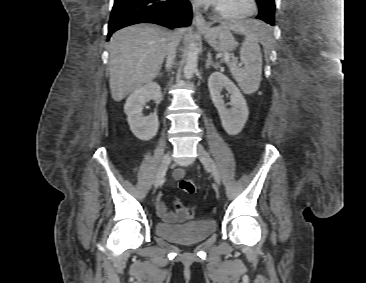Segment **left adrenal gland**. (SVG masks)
I'll return each instance as SVG.
<instances>
[{
  "label": "left adrenal gland",
  "instance_id": "left-adrenal-gland-1",
  "mask_svg": "<svg viewBox=\"0 0 366 283\" xmlns=\"http://www.w3.org/2000/svg\"><path fill=\"white\" fill-rule=\"evenodd\" d=\"M210 66H212V67H214L215 69H216V65L213 63V61H212V59H211V54H210V52L208 53V59H207V61H206V65H205V67H206V69H209L210 68Z\"/></svg>",
  "mask_w": 366,
  "mask_h": 283
}]
</instances>
